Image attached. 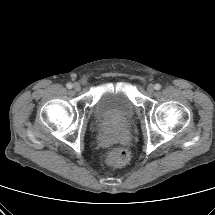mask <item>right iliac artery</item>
I'll use <instances>...</instances> for the list:
<instances>
[{"mask_svg": "<svg viewBox=\"0 0 215 215\" xmlns=\"http://www.w3.org/2000/svg\"><path fill=\"white\" fill-rule=\"evenodd\" d=\"M66 87H67L68 89H71V88L73 87V85H72L71 83H68V84L66 85Z\"/></svg>", "mask_w": 215, "mask_h": 215, "instance_id": "82829eb1", "label": "right iliac artery"}]
</instances>
